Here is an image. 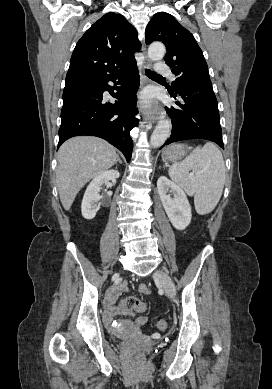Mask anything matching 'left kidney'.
Returning <instances> with one entry per match:
<instances>
[{
  "mask_svg": "<svg viewBox=\"0 0 272 389\" xmlns=\"http://www.w3.org/2000/svg\"><path fill=\"white\" fill-rule=\"evenodd\" d=\"M157 189L165 212L177 230H184L191 222V206L185 192L165 176H160ZM172 192V197L168 192Z\"/></svg>",
  "mask_w": 272,
  "mask_h": 389,
  "instance_id": "left-kidney-1",
  "label": "left kidney"
}]
</instances>
